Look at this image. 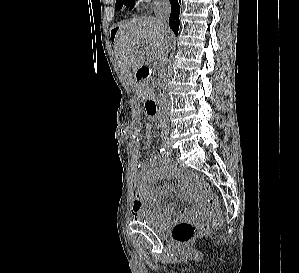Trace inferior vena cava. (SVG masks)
Instances as JSON below:
<instances>
[{
    "label": "inferior vena cava",
    "instance_id": "602c4592",
    "mask_svg": "<svg viewBox=\"0 0 299 273\" xmlns=\"http://www.w3.org/2000/svg\"><path fill=\"white\" fill-rule=\"evenodd\" d=\"M156 20L164 33L170 31L168 25V19L171 12L170 2L169 0H157L154 8ZM169 53V46H167L161 56H160V65H161V74H160V88L162 89V93L160 95V107H161V115L165 116L169 109V103L166 94V71L164 68L165 61L167 59ZM164 129L167 130V126L164 125Z\"/></svg>",
    "mask_w": 299,
    "mask_h": 273
}]
</instances>
